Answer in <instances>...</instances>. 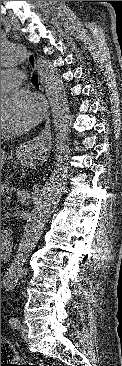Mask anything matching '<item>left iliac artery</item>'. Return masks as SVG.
I'll return each mask as SVG.
<instances>
[{
	"mask_svg": "<svg viewBox=\"0 0 122 366\" xmlns=\"http://www.w3.org/2000/svg\"><path fill=\"white\" fill-rule=\"evenodd\" d=\"M9 325L13 328H17L20 325V321L18 320V318H14V317L10 318L9 319Z\"/></svg>",
	"mask_w": 122,
	"mask_h": 366,
	"instance_id": "1",
	"label": "left iliac artery"
}]
</instances>
